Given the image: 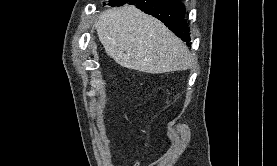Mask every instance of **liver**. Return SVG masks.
<instances>
[{"instance_id":"liver-1","label":"liver","mask_w":277,"mask_h":166,"mask_svg":"<svg viewBox=\"0 0 277 166\" xmlns=\"http://www.w3.org/2000/svg\"><path fill=\"white\" fill-rule=\"evenodd\" d=\"M94 27L107 55L122 67L159 74L192 65L185 44L163 23L136 7L108 9Z\"/></svg>"}]
</instances>
